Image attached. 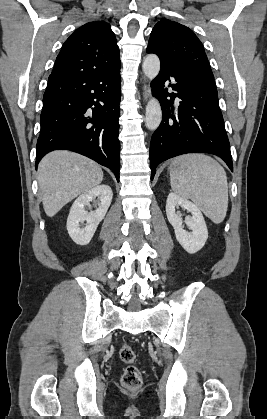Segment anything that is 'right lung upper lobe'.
I'll use <instances>...</instances> for the list:
<instances>
[{"instance_id":"cb5924a9","label":"right lung upper lobe","mask_w":267,"mask_h":419,"mask_svg":"<svg viewBox=\"0 0 267 419\" xmlns=\"http://www.w3.org/2000/svg\"><path fill=\"white\" fill-rule=\"evenodd\" d=\"M120 64L119 47L104 21L84 24L63 44L52 74L93 72Z\"/></svg>"}]
</instances>
